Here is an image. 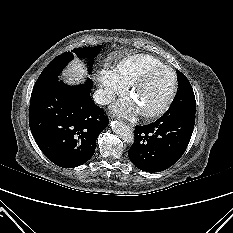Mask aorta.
I'll list each match as a JSON object with an SVG mask.
<instances>
[{
	"label": "aorta",
	"mask_w": 233,
	"mask_h": 233,
	"mask_svg": "<svg viewBox=\"0 0 233 233\" xmlns=\"http://www.w3.org/2000/svg\"><path fill=\"white\" fill-rule=\"evenodd\" d=\"M111 128L124 142L131 144L134 142L133 131L121 121L111 122Z\"/></svg>",
	"instance_id": "1"
}]
</instances>
